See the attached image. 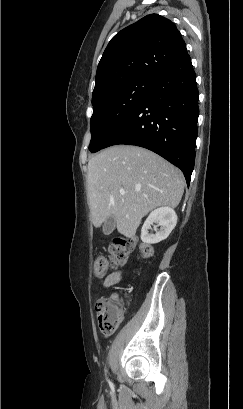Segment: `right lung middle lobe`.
<instances>
[{
    "mask_svg": "<svg viewBox=\"0 0 243 409\" xmlns=\"http://www.w3.org/2000/svg\"><path fill=\"white\" fill-rule=\"evenodd\" d=\"M155 81L135 79L114 87L92 102L91 141L89 150L97 152L131 116L151 90Z\"/></svg>",
    "mask_w": 243,
    "mask_h": 409,
    "instance_id": "right-lung-middle-lobe-1",
    "label": "right lung middle lobe"
}]
</instances>
